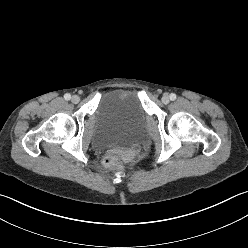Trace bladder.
I'll list each match as a JSON object with an SVG mask.
<instances>
[{"mask_svg": "<svg viewBox=\"0 0 248 248\" xmlns=\"http://www.w3.org/2000/svg\"><path fill=\"white\" fill-rule=\"evenodd\" d=\"M147 120L136 90H111L102 96L93 114L92 146L116 151L134 148L142 138Z\"/></svg>", "mask_w": 248, "mask_h": 248, "instance_id": "31cf9c89", "label": "bladder"}]
</instances>
